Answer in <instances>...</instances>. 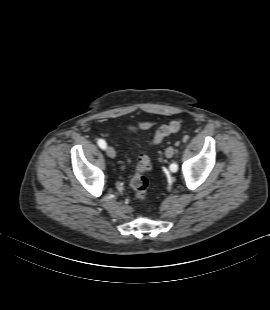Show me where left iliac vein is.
<instances>
[{
    "label": "left iliac vein",
    "mask_w": 270,
    "mask_h": 310,
    "mask_svg": "<svg viewBox=\"0 0 270 310\" xmlns=\"http://www.w3.org/2000/svg\"><path fill=\"white\" fill-rule=\"evenodd\" d=\"M165 154H166V157L171 158L173 156V154H174V148L173 147H168L166 149V153Z\"/></svg>",
    "instance_id": "1"
}]
</instances>
